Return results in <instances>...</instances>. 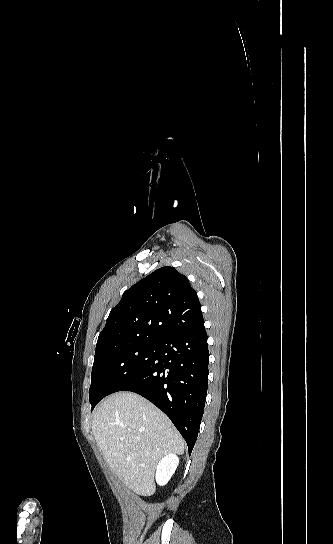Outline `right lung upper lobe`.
Returning a JSON list of instances; mask_svg holds the SVG:
<instances>
[{
  "label": "right lung upper lobe",
  "mask_w": 333,
  "mask_h": 544,
  "mask_svg": "<svg viewBox=\"0 0 333 544\" xmlns=\"http://www.w3.org/2000/svg\"><path fill=\"white\" fill-rule=\"evenodd\" d=\"M201 317L187 277L173 267H161L124 292L99 334L95 354L131 342L158 341Z\"/></svg>",
  "instance_id": "cb5924a9"
}]
</instances>
